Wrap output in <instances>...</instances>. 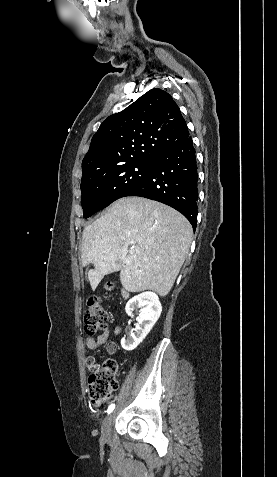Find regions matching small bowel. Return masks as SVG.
<instances>
[{
	"mask_svg": "<svg viewBox=\"0 0 277 477\" xmlns=\"http://www.w3.org/2000/svg\"><path fill=\"white\" fill-rule=\"evenodd\" d=\"M121 331V328L119 326L115 327L113 330L114 336L119 335ZM110 335V327L105 326L103 329L102 334H100L97 338L93 337H86L85 338V344L88 349L90 350H96L102 345H106V353L111 355L114 354L117 351V344L114 340H108ZM88 366L91 367L93 364L96 363L95 357L90 356L87 359Z\"/></svg>",
	"mask_w": 277,
	"mask_h": 477,
	"instance_id": "small-bowel-1",
	"label": "small bowel"
}]
</instances>
